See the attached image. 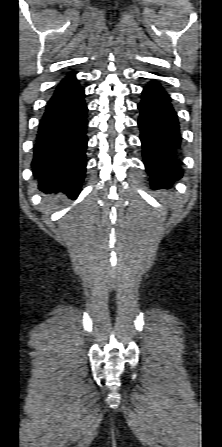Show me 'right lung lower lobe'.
<instances>
[{
  "instance_id": "1",
  "label": "right lung lower lobe",
  "mask_w": 222,
  "mask_h": 447,
  "mask_svg": "<svg viewBox=\"0 0 222 447\" xmlns=\"http://www.w3.org/2000/svg\"><path fill=\"white\" fill-rule=\"evenodd\" d=\"M87 104L75 73L57 84L39 123L33 173L45 192L80 193L86 171Z\"/></svg>"
}]
</instances>
